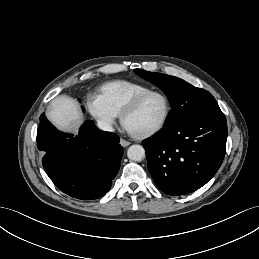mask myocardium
I'll return each mask as SVG.
<instances>
[{"label":"myocardium","instance_id":"myocardium-1","mask_svg":"<svg viewBox=\"0 0 259 259\" xmlns=\"http://www.w3.org/2000/svg\"><path fill=\"white\" fill-rule=\"evenodd\" d=\"M151 95H159L163 98V100L165 102V113H164V116H163V119L161 120V122L155 128L151 129L150 131L142 133V134L131 133V135L137 139H146V138L152 137V136L156 135L157 133H159L166 126V124L170 118V115H171L172 106H171V101H170L168 95L161 90H149L147 92H144V93L136 96L122 110V112L120 114V121H121L122 125L125 126V119L127 118V116L130 115L132 112H134L138 108V106L147 97H149Z\"/></svg>","mask_w":259,"mask_h":259}]
</instances>
